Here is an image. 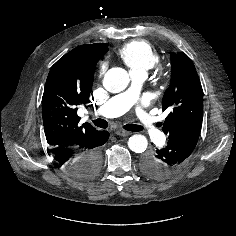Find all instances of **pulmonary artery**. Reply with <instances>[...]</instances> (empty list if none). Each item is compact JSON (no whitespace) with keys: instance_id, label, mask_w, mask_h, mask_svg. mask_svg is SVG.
<instances>
[{"instance_id":"1","label":"pulmonary artery","mask_w":236,"mask_h":236,"mask_svg":"<svg viewBox=\"0 0 236 236\" xmlns=\"http://www.w3.org/2000/svg\"><path fill=\"white\" fill-rule=\"evenodd\" d=\"M131 77V86L124 92L109 99L98 109L97 114L102 117L111 118L122 115L130 109H134L138 125L157 143L163 144L166 138L157 128L155 117L139 105L140 85L146 79L147 73H131Z\"/></svg>"}]
</instances>
